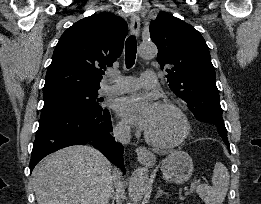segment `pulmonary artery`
Instances as JSON below:
<instances>
[{"label": "pulmonary artery", "instance_id": "e3ab8cb5", "mask_svg": "<svg viewBox=\"0 0 261 204\" xmlns=\"http://www.w3.org/2000/svg\"><path fill=\"white\" fill-rule=\"evenodd\" d=\"M111 83L101 87V94L114 95L130 92L140 86L154 87L157 84V75L153 70L144 71L139 78L133 76H110Z\"/></svg>", "mask_w": 261, "mask_h": 204}]
</instances>
